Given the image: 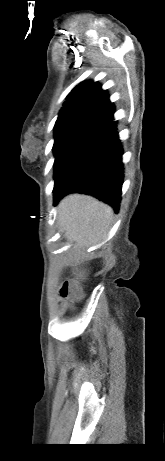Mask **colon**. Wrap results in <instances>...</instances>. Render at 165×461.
<instances>
[{
  "label": "colon",
  "mask_w": 165,
  "mask_h": 461,
  "mask_svg": "<svg viewBox=\"0 0 165 461\" xmlns=\"http://www.w3.org/2000/svg\"><path fill=\"white\" fill-rule=\"evenodd\" d=\"M61 298H69L72 303L79 302L82 299V292L71 282H64L60 290Z\"/></svg>",
  "instance_id": "colon-1"
}]
</instances>
